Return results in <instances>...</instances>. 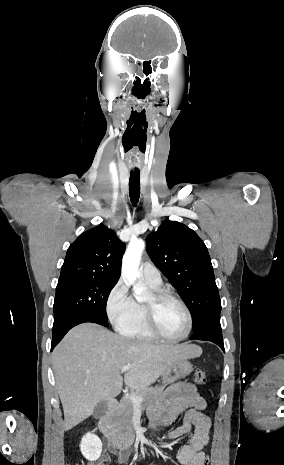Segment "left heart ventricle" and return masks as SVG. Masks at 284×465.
<instances>
[{"label":"left heart ventricle","instance_id":"1","mask_svg":"<svg viewBox=\"0 0 284 465\" xmlns=\"http://www.w3.org/2000/svg\"><path fill=\"white\" fill-rule=\"evenodd\" d=\"M157 326L166 338H180L185 334L188 326L186 313L178 304L165 302L159 309Z\"/></svg>","mask_w":284,"mask_h":465}]
</instances>
